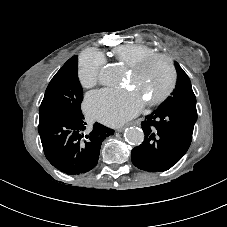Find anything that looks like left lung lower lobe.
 Segmentation results:
<instances>
[{"label": "left lung lower lobe", "mask_w": 227, "mask_h": 227, "mask_svg": "<svg viewBox=\"0 0 227 227\" xmlns=\"http://www.w3.org/2000/svg\"><path fill=\"white\" fill-rule=\"evenodd\" d=\"M196 120L193 108H157L141 123L145 139L132 150L133 164L151 172L170 169L187 152Z\"/></svg>", "instance_id": "1"}]
</instances>
